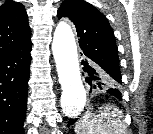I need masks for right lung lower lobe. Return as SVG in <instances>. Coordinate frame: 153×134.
<instances>
[{
	"label": "right lung lower lobe",
	"mask_w": 153,
	"mask_h": 134,
	"mask_svg": "<svg viewBox=\"0 0 153 134\" xmlns=\"http://www.w3.org/2000/svg\"><path fill=\"white\" fill-rule=\"evenodd\" d=\"M31 48L0 57V134H24Z\"/></svg>",
	"instance_id": "98d812e1"
}]
</instances>
